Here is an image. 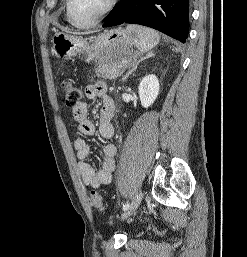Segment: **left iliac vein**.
Here are the masks:
<instances>
[{
    "label": "left iliac vein",
    "instance_id": "4c4485c4",
    "mask_svg": "<svg viewBox=\"0 0 247 257\" xmlns=\"http://www.w3.org/2000/svg\"><path fill=\"white\" fill-rule=\"evenodd\" d=\"M142 197H143L142 191L139 190L133 197L128 209L125 210V212L121 215L122 219H127L128 217H130L136 212L137 208L141 203Z\"/></svg>",
    "mask_w": 247,
    "mask_h": 257
}]
</instances>
